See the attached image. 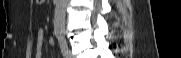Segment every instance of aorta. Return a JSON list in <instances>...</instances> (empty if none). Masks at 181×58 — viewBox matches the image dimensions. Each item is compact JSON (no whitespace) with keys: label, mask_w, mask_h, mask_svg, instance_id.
Wrapping results in <instances>:
<instances>
[{"label":"aorta","mask_w":181,"mask_h":58,"mask_svg":"<svg viewBox=\"0 0 181 58\" xmlns=\"http://www.w3.org/2000/svg\"><path fill=\"white\" fill-rule=\"evenodd\" d=\"M68 0H57L54 10V32L63 33L65 31L66 7Z\"/></svg>","instance_id":"762f6f07"}]
</instances>
